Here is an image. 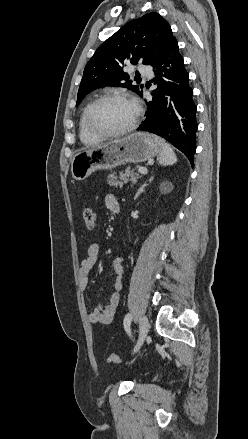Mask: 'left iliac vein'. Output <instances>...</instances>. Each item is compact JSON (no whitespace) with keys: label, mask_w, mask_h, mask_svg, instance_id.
Here are the masks:
<instances>
[{"label":"left iliac vein","mask_w":248,"mask_h":439,"mask_svg":"<svg viewBox=\"0 0 248 439\" xmlns=\"http://www.w3.org/2000/svg\"><path fill=\"white\" fill-rule=\"evenodd\" d=\"M149 329V321L145 315H142L139 319V338L134 348V352H137L142 346Z\"/></svg>","instance_id":"1"}]
</instances>
